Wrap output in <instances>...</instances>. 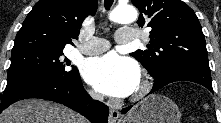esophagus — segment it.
<instances>
[{"label":"esophagus","mask_w":221,"mask_h":123,"mask_svg":"<svg viewBox=\"0 0 221 123\" xmlns=\"http://www.w3.org/2000/svg\"><path fill=\"white\" fill-rule=\"evenodd\" d=\"M119 111L115 108H110L109 111V123H116L119 119Z\"/></svg>","instance_id":"1"}]
</instances>
